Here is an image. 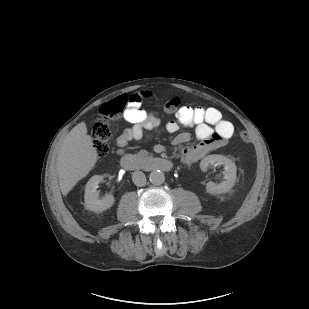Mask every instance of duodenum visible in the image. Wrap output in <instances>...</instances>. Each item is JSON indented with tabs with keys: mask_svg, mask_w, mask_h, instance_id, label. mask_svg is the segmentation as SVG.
<instances>
[{
	"mask_svg": "<svg viewBox=\"0 0 309 309\" xmlns=\"http://www.w3.org/2000/svg\"><path fill=\"white\" fill-rule=\"evenodd\" d=\"M120 164L126 170L145 169L150 171L168 172L172 169L171 161L154 156L138 160L131 155L126 154L121 157Z\"/></svg>",
	"mask_w": 309,
	"mask_h": 309,
	"instance_id": "obj_1",
	"label": "duodenum"
}]
</instances>
